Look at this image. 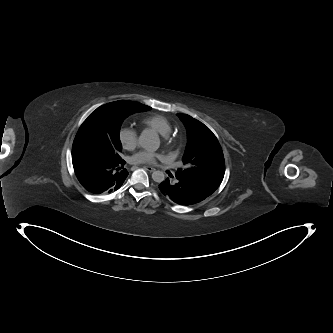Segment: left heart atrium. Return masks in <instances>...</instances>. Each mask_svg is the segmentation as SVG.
Segmentation results:
<instances>
[{
  "mask_svg": "<svg viewBox=\"0 0 333 333\" xmlns=\"http://www.w3.org/2000/svg\"><path fill=\"white\" fill-rule=\"evenodd\" d=\"M161 157V154L152 150H141L134 154L131 161L134 163H154Z\"/></svg>",
  "mask_w": 333,
  "mask_h": 333,
  "instance_id": "obj_1",
  "label": "left heart atrium"
}]
</instances>
